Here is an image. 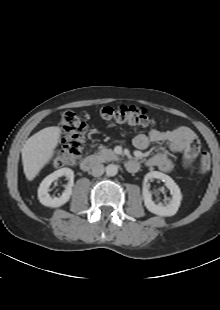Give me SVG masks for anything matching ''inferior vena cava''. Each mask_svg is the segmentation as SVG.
I'll use <instances>...</instances> for the list:
<instances>
[{
  "label": "inferior vena cava",
  "mask_w": 220,
  "mask_h": 310,
  "mask_svg": "<svg viewBox=\"0 0 220 310\" xmlns=\"http://www.w3.org/2000/svg\"><path fill=\"white\" fill-rule=\"evenodd\" d=\"M104 170H105L104 165L98 163L92 167L91 174L94 177H99L104 173Z\"/></svg>",
  "instance_id": "1"
}]
</instances>
